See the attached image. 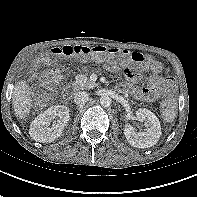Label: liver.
<instances>
[{
  "instance_id": "1",
  "label": "liver",
  "mask_w": 197,
  "mask_h": 197,
  "mask_svg": "<svg viewBox=\"0 0 197 197\" xmlns=\"http://www.w3.org/2000/svg\"><path fill=\"white\" fill-rule=\"evenodd\" d=\"M31 91L25 81L16 82L13 90V109L18 119H24L30 112Z\"/></svg>"
}]
</instances>
